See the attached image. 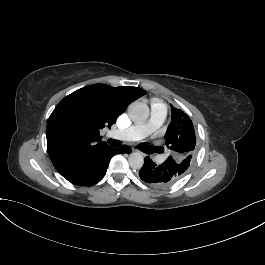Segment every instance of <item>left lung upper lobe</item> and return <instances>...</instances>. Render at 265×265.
I'll list each match as a JSON object with an SVG mask.
<instances>
[{
	"mask_svg": "<svg viewBox=\"0 0 265 265\" xmlns=\"http://www.w3.org/2000/svg\"><path fill=\"white\" fill-rule=\"evenodd\" d=\"M171 118L172 121L166 135V146L170 152L168 158L181 166V173L184 175L195 152L196 137L194 127L189 116L172 105Z\"/></svg>",
	"mask_w": 265,
	"mask_h": 265,
	"instance_id": "left-lung-upper-lobe-1",
	"label": "left lung upper lobe"
}]
</instances>
